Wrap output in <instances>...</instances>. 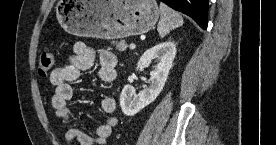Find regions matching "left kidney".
I'll use <instances>...</instances> for the list:
<instances>
[{
    "instance_id": "5707ae66",
    "label": "left kidney",
    "mask_w": 276,
    "mask_h": 145,
    "mask_svg": "<svg viewBox=\"0 0 276 145\" xmlns=\"http://www.w3.org/2000/svg\"><path fill=\"white\" fill-rule=\"evenodd\" d=\"M175 55L176 45L171 41L159 43L143 53L138 61L137 70H143L154 59L157 66L151 72L149 87L142 90L138 95L133 86H124L120 95V106L125 115L137 114L157 98L165 85Z\"/></svg>"
}]
</instances>
